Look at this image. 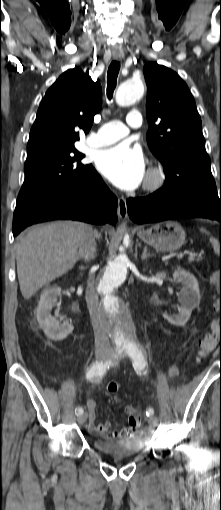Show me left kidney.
Returning <instances> with one entry per match:
<instances>
[{
    "mask_svg": "<svg viewBox=\"0 0 221 510\" xmlns=\"http://www.w3.org/2000/svg\"><path fill=\"white\" fill-rule=\"evenodd\" d=\"M173 279L181 282L184 287L178 294L179 314L176 316L163 313L164 319L176 326H184L190 319L192 310L200 301V292L197 279L190 272L177 268L173 273Z\"/></svg>",
    "mask_w": 221,
    "mask_h": 510,
    "instance_id": "left-kidney-1",
    "label": "left kidney"
}]
</instances>
